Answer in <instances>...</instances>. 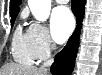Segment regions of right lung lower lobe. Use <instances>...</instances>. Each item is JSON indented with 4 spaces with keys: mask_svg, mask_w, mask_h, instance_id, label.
Instances as JSON below:
<instances>
[{
    "mask_svg": "<svg viewBox=\"0 0 102 75\" xmlns=\"http://www.w3.org/2000/svg\"><path fill=\"white\" fill-rule=\"evenodd\" d=\"M72 12L77 18V26L73 35L69 39L66 46L55 57V61L51 66V73L53 75H69L72 73L76 53L79 45V34L82 26V19L84 17L85 0H71Z\"/></svg>",
    "mask_w": 102,
    "mask_h": 75,
    "instance_id": "1",
    "label": "right lung lower lobe"
}]
</instances>
